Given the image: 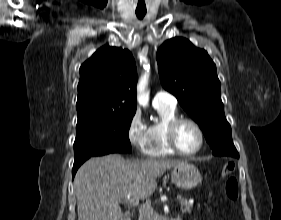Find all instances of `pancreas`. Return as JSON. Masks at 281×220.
Returning a JSON list of instances; mask_svg holds the SVG:
<instances>
[{"instance_id":"cf45deb5","label":"pancreas","mask_w":281,"mask_h":220,"mask_svg":"<svg viewBox=\"0 0 281 220\" xmlns=\"http://www.w3.org/2000/svg\"><path fill=\"white\" fill-rule=\"evenodd\" d=\"M193 204L190 203L187 199H182L180 202V209L183 213L188 212L190 213L192 210Z\"/></svg>"}]
</instances>
